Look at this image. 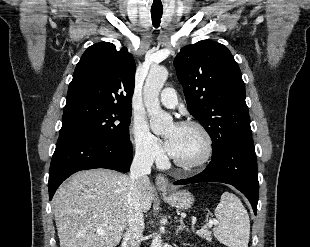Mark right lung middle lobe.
I'll use <instances>...</instances> for the list:
<instances>
[{
	"instance_id": "obj_1",
	"label": "right lung middle lobe",
	"mask_w": 310,
	"mask_h": 247,
	"mask_svg": "<svg viewBox=\"0 0 310 247\" xmlns=\"http://www.w3.org/2000/svg\"><path fill=\"white\" fill-rule=\"evenodd\" d=\"M131 110L75 107L63 111L60 135L81 133L120 144L130 140Z\"/></svg>"
}]
</instances>
